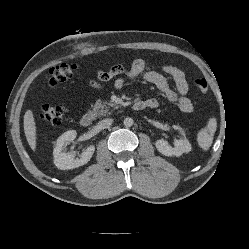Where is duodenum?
<instances>
[{
	"label": "duodenum",
	"instance_id": "410a0bca",
	"mask_svg": "<svg viewBox=\"0 0 249 249\" xmlns=\"http://www.w3.org/2000/svg\"><path fill=\"white\" fill-rule=\"evenodd\" d=\"M133 108L135 110H138V111L143 110L146 108V103L144 101L138 100V101L134 102ZM92 121H93V116L91 113H85L80 118V124L83 127H89L91 125Z\"/></svg>",
	"mask_w": 249,
	"mask_h": 249
}]
</instances>
